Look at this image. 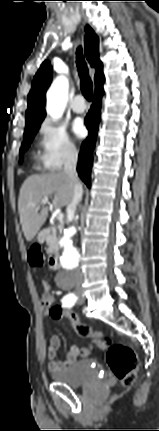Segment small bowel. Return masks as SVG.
<instances>
[{
    "label": "small bowel",
    "mask_w": 159,
    "mask_h": 431,
    "mask_svg": "<svg viewBox=\"0 0 159 431\" xmlns=\"http://www.w3.org/2000/svg\"><path fill=\"white\" fill-rule=\"evenodd\" d=\"M42 286L44 289V294H43V297L41 300V304H42L44 311L46 313H49L51 316L52 309L54 308V305L52 306V309H49L47 307V304H46V297L53 296L55 299L54 302H56V298L52 293V286L49 282L44 280L42 282ZM76 311H78L81 314V312L78 309H76ZM96 343L97 342H93L90 345H96ZM59 346H60V342H59L58 336L51 335L50 341H49V346L47 349V357L49 360L48 367L50 370H59V369L69 367L70 365H72L73 363H75L77 361L78 357H80L79 356L80 354L78 351L81 348L76 346V345H72V346H70L68 352L66 353L65 359L63 361H58L57 360V354H58ZM84 348H86V347H84Z\"/></svg>",
    "instance_id": "small-bowel-1"
}]
</instances>
